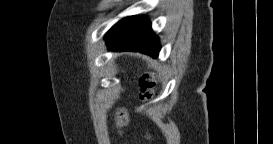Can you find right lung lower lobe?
Segmentation results:
<instances>
[{"label":"right lung lower lobe","mask_w":273,"mask_h":144,"mask_svg":"<svg viewBox=\"0 0 273 144\" xmlns=\"http://www.w3.org/2000/svg\"><path fill=\"white\" fill-rule=\"evenodd\" d=\"M107 46L113 51H139L156 58L160 44L147 18L129 16L116 23L106 34Z\"/></svg>","instance_id":"98d812e1"}]
</instances>
